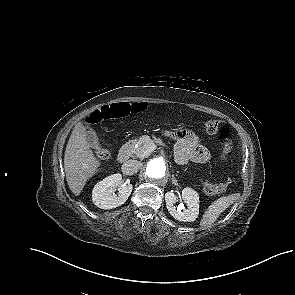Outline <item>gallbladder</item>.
Instances as JSON below:
<instances>
[{"mask_svg":"<svg viewBox=\"0 0 295 295\" xmlns=\"http://www.w3.org/2000/svg\"><path fill=\"white\" fill-rule=\"evenodd\" d=\"M87 141L89 145L95 149H101L99 138L96 133H91L87 136Z\"/></svg>","mask_w":295,"mask_h":295,"instance_id":"1","label":"gallbladder"}]
</instances>
